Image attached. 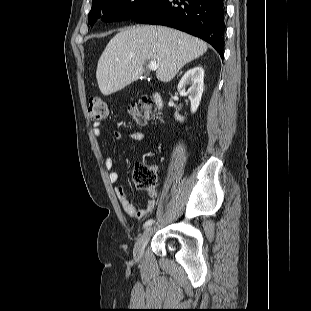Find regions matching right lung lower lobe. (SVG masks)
<instances>
[{"label":"right lung lower lobe","instance_id":"right-lung-lower-lobe-1","mask_svg":"<svg viewBox=\"0 0 311 311\" xmlns=\"http://www.w3.org/2000/svg\"><path fill=\"white\" fill-rule=\"evenodd\" d=\"M131 20L185 31L211 44L223 57L224 0H158Z\"/></svg>","mask_w":311,"mask_h":311}]
</instances>
